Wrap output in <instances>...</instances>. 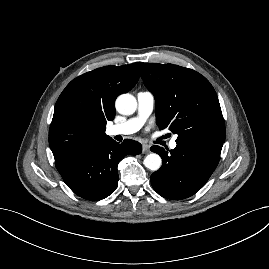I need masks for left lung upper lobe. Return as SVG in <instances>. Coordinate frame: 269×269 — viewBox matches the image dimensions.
Listing matches in <instances>:
<instances>
[{
	"label": "left lung upper lobe",
	"mask_w": 269,
	"mask_h": 269,
	"mask_svg": "<svg viewBox=\"0 0 269 269\" xmlns=\"http://www.w3.org/2000/svg\"><path fill=\"white\" fill-rule=\"evenodd\" d=\"M141 78L155 97L159 129L169 128L176 141L225 142L218 97L198 72L173 64L145 63Z\"/></svg>",
	"instance_id": "obj_1"
}]
</instances>
